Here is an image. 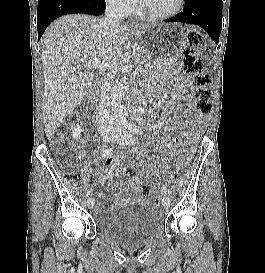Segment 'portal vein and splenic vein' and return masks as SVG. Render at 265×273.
Instances as JSON below:
<instances>
[{"label": "portal vein and splenic vein", "mask_w": 265, "mask_h": 273, "mask_svg": "<svg viewBox=\"0 0 265 273\" xmlns=\"http://www.w3.org/2000/svg\"><path fill=\"white\" fill-rule=\"evenodd\" d=\"M110 65L111 64L108 62L100 61L97 58H92L84 66L87 67L88 69L104 70L106 68H110ZM77 69L81 68H73L74 71H76Z\"/></svg>", "instance_id": "obj_1"}]
</instances>
